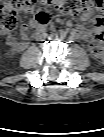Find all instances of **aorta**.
<instances>
[{"mask_svg": "<svg viewBox=\"0 0 104 137\" xmlns=\"http://www.w3.org/2000/svg\"><path fill=\"white\" fill-rule=\"evenodd\" d=\"M66 39V34H65V31L64 30H57L56 31V34H55V40L57 42H62Z\"/></svg>", "mask_w": 104, "mask_h": 137, "instance_id": "762f6f07", "label": "aorta"}]
</instances>
